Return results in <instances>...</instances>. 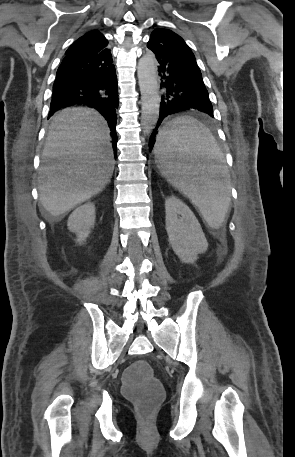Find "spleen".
<instances>
[{"label":"spleen","mask_w":295,"mask_h":457,"mask_svg":"<svg viewBox=\"0 0 295 457\" xmlns=\"http://www.w3.org/2000/svg\"><path fill=\"white\" fill-rule=\"evenodd\" d=\"M161 174L194 203L207 224L218 229L230 205L231 180L212 133L191 116L170 121L155 145Z\"/></svg>","instance_id":"1"}]
</instances>
